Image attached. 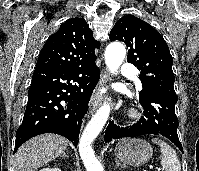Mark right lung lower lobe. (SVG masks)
I'll return each instance as SVG.
<instances>
[{"label": "right lung lower lobe", "instance_id": "obj_1", "mask_svg": "<svg viewBox=\"0 0 199 171\" xmlns=\"http://www.w3.org/2000/svg\"><path fill=\"white\" fill-rule=\"evenodd\" d=\"M95 60L81 66L35 69L14 153L25 141L43 133L62 135L77 147L82 118L100 78Z\"/></svg>", "mask_w": 199, "mask_h": 171}]
</instances>
